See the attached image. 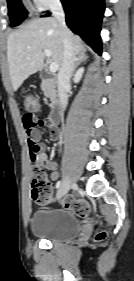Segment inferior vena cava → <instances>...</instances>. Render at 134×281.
<instances>
[{
	"mask_svg": "<svg viewBox=\"0 0 134 281\" xmlns=\"http://www.w3.org/2000/svg\"><path fill=\"white\" fill-rule=\"evenodd\" d=\"M51 10L54 18L58 21L62 28L63 43H64V54L63 62L59 69L57 76L58 82V96L60 106L63 110L66 109L68 103V90L70 87V79L73 74L75 67L76 57L73 49L72 41L69 37V31L65 23V13L60 0H53L51 4Z\"/></svg>",
	"mask_w": 134,
	"mask_h": 281,
	"instance_id": "inferior-vena-cava-1",
	"label": "inferior vena cava"
}]
</instances>
